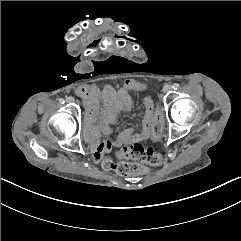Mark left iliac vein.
I'll use <instances>...</instances> for the list:
<instances>
[{"mask_svg":"<svg viewBox=\"0 0 241 241\" xmlns=\"http://www.w3.org/2000/svg\"><path fill=\"white\" fill-rule=\"evenodd\" d=\"M172 89L170 84H165L163 87V92L168 93Z\"/></svg>","mask_w":241,"mask_h":241,"instance_id":"obj_1","label":"left iliac vein"}]
</instances>
